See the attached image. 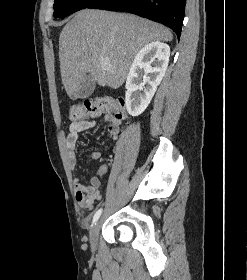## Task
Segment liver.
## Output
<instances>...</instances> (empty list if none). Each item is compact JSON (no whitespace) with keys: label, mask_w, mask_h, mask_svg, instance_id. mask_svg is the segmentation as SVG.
<instances>
[{"label":"liver","mask_w":247,"mask_h":280,"mask_svg":"<svg viewBox=\"0 0 247 280\" xmlns=\"http://www.w3.org/2000/svg\"><path fill=\"white\" fill-rule=\"evenodd\" d=\"M163 25L130 14L84 9L64 26L59 37L62 83L72 98L88 76L99 86L119 88L138 51L153 41H172ZM108 59L101 66V59Z\"/></svg>","instance_id":"obj_1"}]
</instances>
